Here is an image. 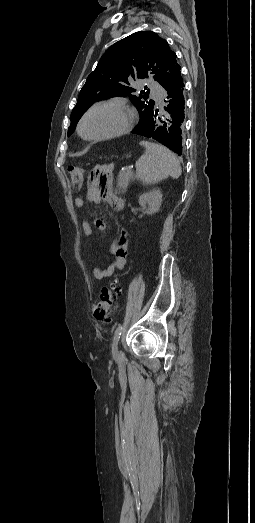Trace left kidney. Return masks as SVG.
Masks as SVG:
<instances>
[{
    "instance_id": "left-kidney-1",
    "label": "left kidney",
    "mask_w": 255,
    "mask_h": 523,
    "mask_svg": "<svg viewBox=\"0 0 255 523\" xmlns=\"http://www.w3.org/2000/svg\"><path fill=\"white\" fill-rule=\"evenodd\" d=\"M161 202L162 194L160 190H157V188L150 190V192H146V194H142L139 198V204L142 206L143 210H145L146 214H155V212H158Z\"/></svg>"
}]
</instances>
